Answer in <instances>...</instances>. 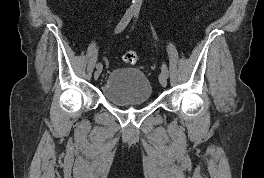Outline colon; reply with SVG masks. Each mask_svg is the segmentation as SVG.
<instances>
[{
	"instance_id": "1",
	"label": "colon",
	"mask_w": 264,
	"mask_h": 178,
	"mask_svg": "<svg viewBox=\"0 0 264 178\" xmlns=\"http://www.w3.org/2000/svg\"><path fill=\"white\" fill-rule=\"evenodd\" d=\"M122 60L126 64L134 65L138 61V56L134 51H126L122 56Z\"/></svg>"
}]
</instances>
